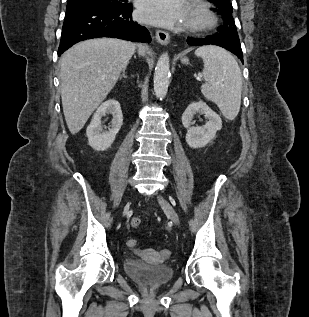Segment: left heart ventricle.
Masks as SVG:
<instances>
[{
  "label": "left heart ventricle",
  "instance_id": "b2bd125f",
  "mask_svg": "<svg viewBox=\"0 0 309 317\" xmlns=\"http://www.w3.org/2000/svg\"><path fill=\"white\" fill-rule=\"evenodd\" d=\"M192 19V13H191V11L189 12V16H188V19H187V22L189 21V20H191Z\"/></svg>",
  "mask_w": 309,
  "mask_h": 317
}]
</instances>
